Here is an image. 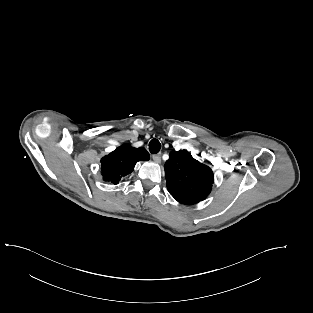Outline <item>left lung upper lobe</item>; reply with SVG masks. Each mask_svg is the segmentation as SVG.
I'll use <instances>...</instances> for the list:
<instances>
[{
	"label": "left lung upper lobe",
	"instance_id": "1",
	"mask_svg": "<svg viewBox=\"0 0 313 313\" xmlns=\"http://www.w3.org/2000/svg\"><path fill=\"white\" fill-rule=\"evenodd\" d=\"M169 193L180 203L193 205L204 200L212 189V170L186 150L172 151L165 164Z\"/></svg>",
	"mask_w": 313,
	"mask_h": 313
}]
</instances>
